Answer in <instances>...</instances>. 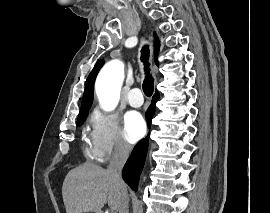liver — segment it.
<instances>
[{
    "label": "liver",
    "instance_id": "6515ba94",
    "mask_svg": "<svg viewBox=\"0 0 270 213\" xmlns=\"http://www.w3.org/2000/svg\"><path fill=\"white\" fill-rule=\"evenodd\" d=\"M124 182L117 180L107 169L85 163L68 172L62 186L66 213H101L106 203L114 211L121 206Z\"/></svg>",
    "mask_w": 270,
    "mask_h": 213
}]
</instances>
